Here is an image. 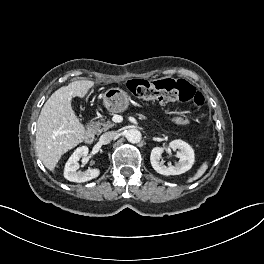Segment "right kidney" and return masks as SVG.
<instances>
[{"label":"right kidney","instance_id":"obj_1","mask_svg":"<svg viewBox=\"0 0 264 264\" xmlns=\"http://www.w3.org/2000/svg\"><path fill=\"white\" fill-rule=\"evenodd\" d=\"M89 149L87 146H82L77 148L74 153L70 156L65 164L64 177L72 182H86L97 178L100 174L98 168L88 169L84 172L78 171L79 169V159L81 157H86L88 155Z\"/></svg>","mask_w":264,"mask_h":264}]
</instances>
